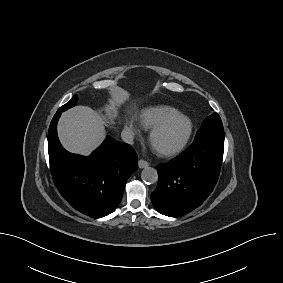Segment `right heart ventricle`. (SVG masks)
Returning <instances> with one entry per match:
<instances>
[{"label":"right heart ventricle","mask_w":283,"mask_h":283,"mask_svg":"<svg viewBox=\"0 0 283 283\" xmlns=\"http://www.w3.org/2000/svg\"><path fill=\"white\" fill-rule=\"evenodd\" d=\"M178 111L170 106H150L143 109L140 113L139 120L145 129H151L165 117L177 113Z\"/></svg>","instance_id":"1"}]
</instances>
